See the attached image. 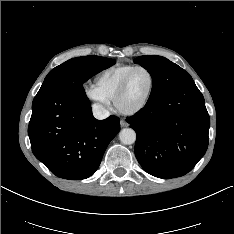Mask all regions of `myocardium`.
<instances>
[{
  "label": "myocardium",
  "instance_id": "obj_1",
  "mask_svg": "<svg viewBox=\"0 0 234 234\" xmlns=\"http://www.w3.org/2000/svg\"><path fill=\"white\" fill-rule=\"evenodd\" d=\"M137 70H145L149 76H150V87H149V90H148V93L145 97V99L136 107L134 108H131V109H124L121 107L120 105V101L123 97V95L125 94L126 90H127V87H128V84H129V81H130V78L131 76L137 71ZM154 88H155V76H154V73L146 66H135L134 68H132L126 75L125 77L123 78L120 86L118 87L116 93H115V96L113 98V103H114V107L115 109L123 114V115H134V114H137L139 113L140 111H142L146 106L147 104L149 103L151 97H152V94L154 92Z\"/></svg>",
  "mask_w": 234,
  "mask_h": 234
}]
</instances>
